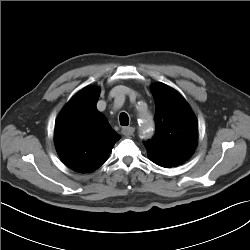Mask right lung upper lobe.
<instances>
[{"label":"right lung upper lobe","mask_w":250,"mask_h":250,"mask_svg":"<svg viewBox=\"0 0 250 250\" xmlns=\"http://www.w3.org/2000/svg\"><path fill=\"white\" fill-rule=\"evenodd\" d=\"M98 98L97 88L82 89L63 108L55 123L56 150L68 167L80 173L98 169L120 139L97 110Z\"/></svg>","instance_id":"right-lung-upper-lobe-1"}]
</instances>
